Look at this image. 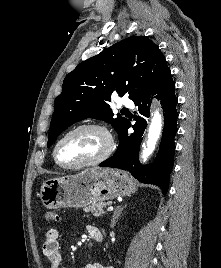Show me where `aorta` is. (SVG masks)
Listing matches in <instances>:
<instances>
[{"label":"aorta","instance_id":"obj_1","mask_svg":"<svg viewBox=\"0 0 221 268\" xmlns=\"http://www.w3.org/2000/svg\"><path fill=\"white\" fill-rule=\"evenodd\" d=\"M162 125H163L162 116L159 113V111L156 110L152 114V120L149 126L146 143L144 144L142 150V158L144 160H146L153 153L161 134Z\"/></svg>","mask_w":221,"mask_h":268}]
</instances>
